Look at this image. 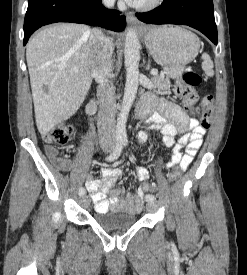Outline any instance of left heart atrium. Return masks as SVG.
<instances>
[{
    "instance_id": "39dd6f15",
    "label": "left heart atrium",
    "mask_w": 247,
    "mask_h": 275,
    "mask_svg": "<svg viewBox=\"0 0 247 275\" xmlns=\"http://www.w3.org/2000/svg\"><path fill=\"white\" fill-rule=\"evenodd\" d=\"M130 5H138L140 0H125Z\"/></svg>"
}]
</instances>
